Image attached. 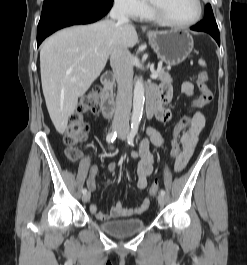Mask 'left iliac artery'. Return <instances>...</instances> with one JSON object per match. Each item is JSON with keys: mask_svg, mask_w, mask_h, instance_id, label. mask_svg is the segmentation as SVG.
Returning a JSON list of instances; mask_svg holds the SVG:
<instances>
[{"mask_svg": "<svg viewBox=\"0 0 247 265\" xmlns=\"http://www.w3.org/2000/svg\"><path fill=\"white\" fill-rule=\"evenodd\" d=\"M137 132H138V124L132 125L131 126V131H130V133L127 136V142H128L129 145L133 146V141H134V138H135ZM160 194L161 195H165V191L161 190Z\"/></svg>", "mask_w": 247, "mask_h": 265, "instance_id": "1", "label": "left iliac artery"}]
</instances>
